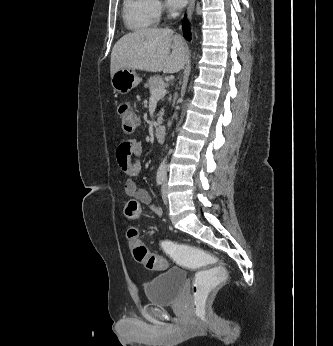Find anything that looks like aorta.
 Returning a JSON list of instances; mask_svg holds the SVG:
<instances>
[{"label": "aorta", "instance_id": "1", "mask_svg": "<svg viewBox=\"0 0 333 346\" xmlns=\"http://www.w3.org/2000/svg\"><path fill=\"white\" fill-rule=\"evenodd\" d=\"M166 166V159H164L161 163V167H165Z\"/></svg>", "mask_w": 333, "mask_h": 346}]
</instances>
